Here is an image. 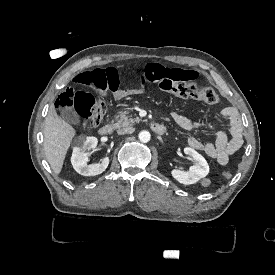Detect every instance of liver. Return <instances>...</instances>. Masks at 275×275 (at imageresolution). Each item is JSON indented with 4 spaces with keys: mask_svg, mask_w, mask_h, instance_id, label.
<instances>
[{
    "mask_svg": "<svg viewBox=\"0 0 275 275\" xmlns=\"http://www.w3.org/2000/svg\"><path fill=\"white\" fill-rule=\"evenodd\" d=\"M43 135L47 161L54 173L60 175L66 154L77 135V131L57 114L54 104L50 105L48 115L45 118Z\"/></svg>",
    "mask_w": 275,
    "mask_h": 275,
    "instance_id": "1",
    "label": "liver"
}]
</instances>
